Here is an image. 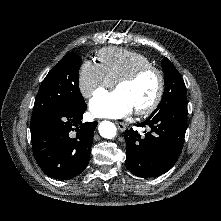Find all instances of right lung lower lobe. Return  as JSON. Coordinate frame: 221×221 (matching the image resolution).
I'll return each mask as SVG.
<instances>
[{
  "instance_id": "1",
  "label": "right lung lower lobe",
  "mask_w": 221,
  "mask_h": 221,
  "mask_svg": "<svg viewBox=\"0 0 221 221\" xmlns=\"http://www.w3.org/2000/svg\"><path fill=\"white\" fill-rule=\"evenodd\" d=\"M85 111L86 104L57 111L31 128L34 157L50 177L68 180L87 167L97 122L82 123Z\"/></svg>"
}]
</instances>
